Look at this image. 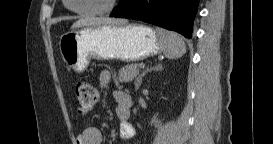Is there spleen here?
Returning <instances> with one entry per match:
<instances>
[{
    "mask_svg": "<svg viewBox=\"0 0 273 144\" xmlns=\"http://www.w3.org/2000/svg\"><path fill=\"white\" fill-rule=\"evenodd\" d=\"M163 45V53L169 59L180 58L186 52L183 38L173 31L156 29Z\"/></svg>",
    "mask_w": 273,
    "mask_h": 144,
    "instance_id": "3e777b00",
    "label": "spleen"
}]
</instances>
